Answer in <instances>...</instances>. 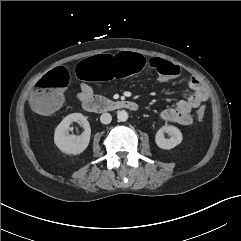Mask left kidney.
Returning <instances> with one entry per match:
<instances>
[{
  "mask_svg": "<svg viewBox=\"0 0 241 241\" xmlns=\"http://www.w3.org/2000/svg\"><path fill=\"white\" fill-rule=\"evenodd\" d=\"M168 133L169 139H166L164 134ZM156 145L161 149H172L182 142L181 131L173 125L162 126L155 136Z\"/></svg>",
  "mask_w": 241,
  "mask_h": 241,
  "instance_id": "1",
  "label": "left kidney"
}]
</instances>
